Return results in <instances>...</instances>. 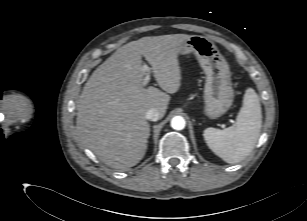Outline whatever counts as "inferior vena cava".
<instances>
[{"label": "inferior vena cava", "mask_w": 307, "mask_h": 221, "mask_svg": "<svg viewBox=\"0 0 307 221\" xmlns=\"http://www.w3.org/2000/svg\"><path fill=\"white\" fill-rule=\"evenodd\" d=\"M147 120L157 121L161 118L160 113L156 109H149L145 115Z\"/></svg>", "instance_id": "1"}]
</instances>
